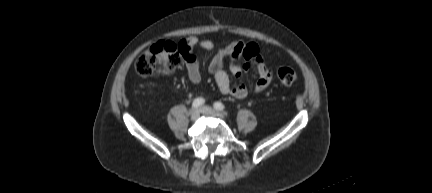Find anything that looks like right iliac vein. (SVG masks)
Listing matches in <instances>:
<instances>
[{
    "label": "right iliac vein",
    "mask_w": 432,
    "mask_h": 193,
    "mask_svg": "<svg viewBox=\"0 0 432 193\" xmlns=\"http://www.w3.org/2000/svg\"><path fill=\"white\" fill-rule=\"evenodd\" d=\"M200 117V110H194L191 113V120L192 121H197Z\"/></svg>",
    "instance_id": "63e3f726"
}]
</instances>
